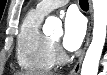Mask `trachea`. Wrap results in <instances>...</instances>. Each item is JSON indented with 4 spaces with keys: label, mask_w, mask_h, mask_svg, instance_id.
Instances as JSON below:
<instances>
[{
    "label": "trachea",
    "mask_w": 107,
    "mask_h": 75,
    "mask_svg": "<svg viewBox=\"0 0 107 75\" xmlns=\"http://www.w3.org/2000/svg\"><path fill=\"white\" fill-rule=\"evenodd\" d=\"M79 3H80L81 8H88L87 0H80Z\"/></svg>",
    "instance_id": "obj_1"
}]
</instances>
